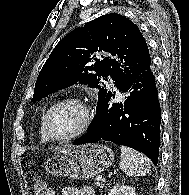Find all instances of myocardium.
<instances>
[{"mask_svg": "<svg viewBox=\"0 0 189 195\" xmlns=\"http://www.w3.org/2000/svg\"><path fill=\"white\" fill-rule=\"evenodd\" d=\"M64 104H76V105L80 106L84 110L85 119H84L82 126L79 128V130H77L73 134L65 136V137H57L51 131L50 118H51L52 113L58 107H60ZM93 119H94V113H93L92 108L88 102L84 101L82 98H79V97H68V98H64V99H61V100L55 102L47 110V112L44 115L43 125H44L45 133H46L49 140L54 141V142L64 143V142L72 141V140L82 136L84 133H86L88 131V129L90 128V126L93 122Z\"/></svg>", "mask_w": 189, "mask_h": 195, "instance_id": "1", "label": "myocardium"}]
</instances>
